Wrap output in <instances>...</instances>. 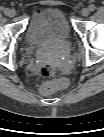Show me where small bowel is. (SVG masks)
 <instances>
[{"label":"small bowel","mask_w":104,"mask_h":137,"mask_svg":"<svg viewBox=\"0 0 104 137\" xmlns=\"http://www.w3.org/2000/svg\"><path fill=\"white\" fill-rule=\"evenodd\" d=\"M40 13V10H37L35 13V16L38 15Z\"/></svg>","instance_id":"1"}]
</instances>
